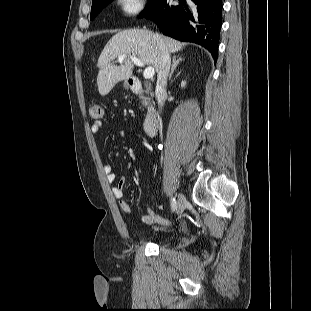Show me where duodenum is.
<instances>
[{
  "label": "duodenum",
  "instance_id": "duodenum-1",
  "mask_svg": "<svg viewBox=\"0 0 311 311\" xmlns=\"http://www.w3.org/2000/svg\"><path fill=\"white\" fill-rule=\"evenodd\" d=\"M129 86L133 92L139 94L143 91V87L139 79L131 77L128 80ZM151 88H148V91H151ZM159 124V114L157 110L153 107L148 109L147 115L144 121V132L147 136H153L156 133L157 127Z\"/></svg>",
  "mask_w": 311,
  "mask_h": 311
}]
</instances>
